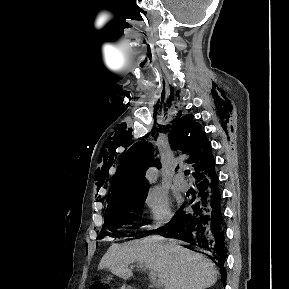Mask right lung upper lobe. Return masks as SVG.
Returning a JSON list of instances; mask_svg holds the SVG:
<instances>
[{
	"label": "right lung upper lobe",
	"mask_w": 289,
	"mask_h": 289,
	"mask_svg": "<svg viewBox=\"0 0 289 289\" xmlns=\"http://www.w3.org/2000/svg\"><path fill=\"white\" fill-rule=\"evenodd\" d=\"M172 127V148L190 156L187 162L194 168V178L197 180L214 170L211 146L200 124L192 116H185L180 112ZM158 164L150 144L138 142L130 147L114 176L111 193L107 198L108 206L136 194L147 193L148 184L144 183L143 176L148 166Z\"/></svg>",
	"instance_id": "right-lung-upper-lobe-1"
}]
</instances>
